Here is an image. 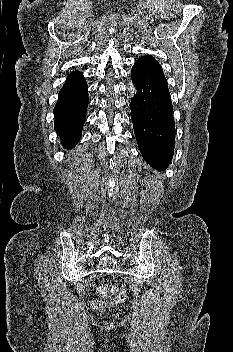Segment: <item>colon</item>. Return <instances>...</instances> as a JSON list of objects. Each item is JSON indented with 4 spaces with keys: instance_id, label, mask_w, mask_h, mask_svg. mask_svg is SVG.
<instances>
[{
    "instance_id": "1",
    "label": "colon",
    "mask_w": 233,
    "mask_h": 352,
    "mask_svg": "<svg viewBox=\"0 0 233 352\" xmlns=\"http://www.w3.org/2000/svg\"><path fill=\"white\" fill-rule=\"evenodd\" d=\"M93 291L103 297L102 300L94 302L93 306L96 309L116 306L123 303L127 298L126 291L114 285H96L93 287Z\"/></svg>"
}]
</instances>
